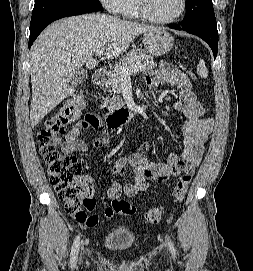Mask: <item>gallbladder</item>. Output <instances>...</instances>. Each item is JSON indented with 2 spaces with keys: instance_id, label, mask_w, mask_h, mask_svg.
I'll return each instance as SVG.
<instances>
[{
  "instance_id": "bac80fb5",
  "label": "gallbladder",
  "mask_w": 253,
  "mask_h": 271,
  "mask_svg": "<svg viewBox=\"0 0 253 271\" xmlns=\"http://www.w3.org/2000/svg\"><path fill=\"white\" fill-rule=\"evenodd\" d=\"M88 77L87 71L79 70L72 78L71 85L78 86Z\"/></svg>"
}]
</instances>
